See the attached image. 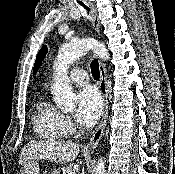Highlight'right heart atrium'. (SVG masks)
<instances>
[{"label": "right heart atrium", "instance_id": "obj_1", "mask_svg": "<svg viewBox=\"0 0 175 174\" xmlns=\"http://www.w3.org/2000/svg\"><path fill=\"white\" fill-rule=\"evenodd\" d=\"M65 125L67 130H71L73 128V123L70 118L65 117Z\"/></svg>", "mask_w": 175, "mask_h": 174}]
</instances>
